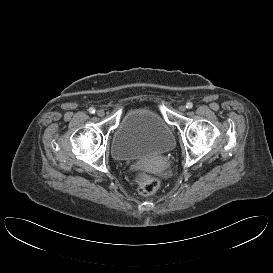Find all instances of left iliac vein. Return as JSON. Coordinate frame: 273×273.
<instances>
[{"mask_svg": "<svg viewBox=\"0 0 273 273\" xmlns=\"http://www.w3.org/2000/svg\"><path fill=\"white\" fill-rule=\"evenodd\" d=\"M179 110L181 112H184L186 110V107L184 105L179 106Z\"/></svg>", "mask_w": 273, "mask_h": 273, "instance_id": "obj_1", "label": "left iliac vein"}]
</instances>
